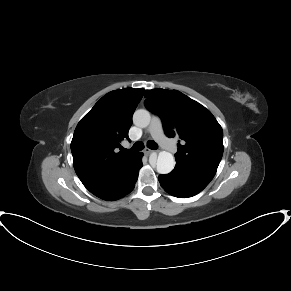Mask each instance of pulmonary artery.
Masks as SVG:
<instances>
[{"mask_svg":"<svg viewBox=\"0 0 291 291\" xmlns=\"http://www.w3.org/2000/svg\"><path fill=\"white\" fill-rule=\"evenodd\" d=\"M147 132L156 142L165 147L167 150L174 151L176 149L174 142L165 136L162 121L158 116L152 117Z\"/></svg>","mask_w":291,"mask_h":291,"instance_id":"obj_1","label":"pulmonary artery"}]
</instances>
